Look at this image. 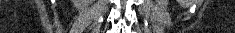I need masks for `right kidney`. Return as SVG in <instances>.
<instances>
[{
  "instance_id": "1",
  "label": "right kidney",
  "mask_w": 235,
  "mask_h": 33,
  "mask_svg": "<svg viewBox=\"0 0 235 33\" xmlns=\"http://www.w3.org/2000/svg\"><path fill=\"white\" fill-rule=\"evenodd\" d=\"M88 2H91V0H75V6L78 9H82Z\"/></svg>"
}]
</instances>
